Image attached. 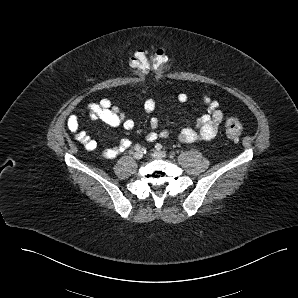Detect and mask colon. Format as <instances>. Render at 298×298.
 <instances>
[{"label": "colon", "mask_w": 298, "mask_h": 298, "mask_svg": "<svg viewBox=\"0 0 298 298\" xmlns=\"http://www.w3.org/2000/svg\"><path fill=\"white\" fill-rule=\"evenodd\" d=\"M131 66L141 77L145 78L148 74H160L167 65L166 52L156 46L141 48L136 50L130 58ZM225 130L228 138L238 140L243 132V126L239 119L228 116L225 120Z\"/></svg>", "instance_id": "1"}]
</instances>
